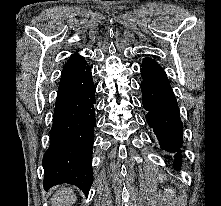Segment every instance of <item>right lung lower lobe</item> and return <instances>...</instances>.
Masks as SVG:
<instances>
[{
  "label": "right lung lower lobe",
  "instance_id": "1",
  "mask_svg": "<svg viewBox=\"0 0 221 206\" xmlns=\"http://www.w3.org/2000/svg\"><path fill=\"white\" fill-rule=\"evenodd\" d=\"M95 90L86 62L61 75L50 146L42 162L45 190L67 183L88 194L93 182Z\"/></svg>",
  "mask_w": 221,
  "mask_h": 206
}]
</instances>
